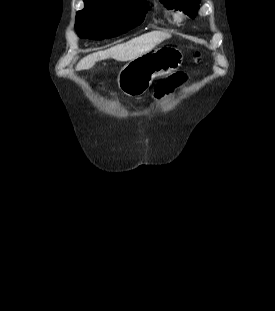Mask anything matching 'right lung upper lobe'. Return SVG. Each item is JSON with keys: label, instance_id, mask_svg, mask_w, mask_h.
<instances>
[{"label": "right lung upper lobe", "instance_id": "1", "mask_svg": "<svg viewBox=\"0 0 275 311\" xmlns=\"http://www.w3.org/2000/svg\"><path fill=\"white\" fill-rule=\"evenodd\" d=\"M121 1H128V0H84V3L89 4L92 2H121Z\"/></svg>", "mask_w": 275, "mask_h": 311}]
</instances>
